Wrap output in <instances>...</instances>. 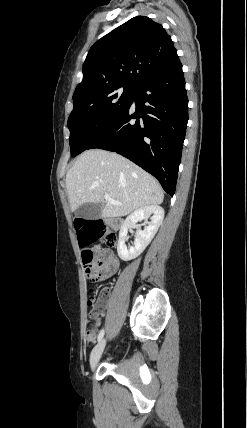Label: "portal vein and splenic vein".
<instances>
[{
	"instance_id": "1",
	"label": "portal vein and splenic vein",
	"mask_w": 247,
	"mask_h": 428,
	"mask_svg": "<svg viewBox=\"0 0 247 428\" xmlns=\"http://www.w3.org/2000/svg\"><path fill=\"white\" fill-rule=\"evenodd\" d=\"M104 199L113 205H122L120 202L115 201L109 194L104 195Z\"/></svg>"
}]
</instances>
